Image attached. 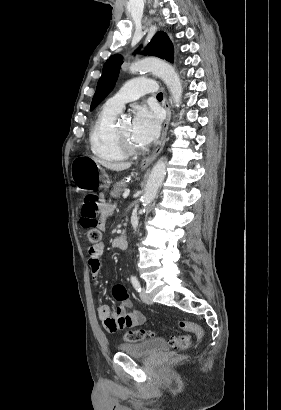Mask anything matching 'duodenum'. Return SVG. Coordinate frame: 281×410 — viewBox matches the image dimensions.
Wrapping results in <instances>:
<instances>
[{"mask_svg":"<svg viewBox=\"0 0 281 410\" xmlns=\"http://www.w3.org/2000/svg\"><path fill=\"white\" fill-rule=\"evenodd\" d=\"M127 246V236L126 233H122L114 241V247L117 249H124Z\"/></svg>","mask_w":281,"mask_h":410,"instance_id":"obj_1","label":"duodenum"}]
</instances>
